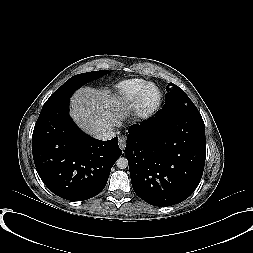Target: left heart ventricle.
<instances>
[{"label":"left heart ventricle","instance_id":"1","mask_svg":"<svg viewBox=\"0 0 253 253\" xmlns=\"http://www.w3.org/2000/svg\"><path fill=\"white\" fill-rule=\"evenodd\" d=\"M157 97H158V93H157L156 89H154V88H150L146 93V100L149 103L156 101Z\"/></svg>","mask_w":253,"mask_h":253}]
</instances>
